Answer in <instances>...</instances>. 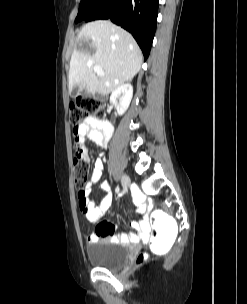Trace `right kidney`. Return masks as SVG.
I'll return each instance as SVG.
<instances>
[{
	"label": "right kidney",
	"mask_w": 247,
	"mask_h": 304,
	"mask_svg": "<svg viewBox=\"0 0 247 304\" xmlns=\"http://www.w3.org/2000/svg\"><path fill=\"white\" fill-rule=\"evenodd\" d=\"M133 97V87L130 83L119 85L111 94L110 102L115 105L118 115H123L128 109Z\"/></svg>",
	"instance_id": "obj_1"
}]
</instances>
